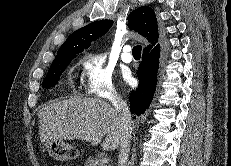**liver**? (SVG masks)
I'll return each instance as SVG.
<instances>
[{
  "instance_id": "obj_1",
  "label": "liver",
  "mask_w": 231,
  "mask_h": 166,
  "mask_svg": "<svg viewBox=\"0 0 231 166\" xmlns=\"http://www.w3.org/2000/svg\"><path fill=\"white\" fill-rule=\"evenodd\" d=\"M41 142L78 139L114 151L121 146L123 123L116 110L99 99L74 97L45 105L38 113Z\"/></svg>"
}]
</instances>
